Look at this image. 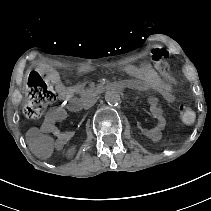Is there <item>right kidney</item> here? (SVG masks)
<instances>
[{
  "label": "right kidney",
  "mask_w": 211,
  "mask_h": 211,
  "mask_svg": "<svg viewBox=\"0 0 211 211\" xmlns=\"http://www.w3.org/2000/svg\"><path fill=\"white\" fill-rule=\"evenodd\" d=\"M66 118V110L63 107H57L47 111L44 124L54 133L58 139L64 143H71L74 135L68 132L60 123Z\"/></svg>",
  "instance_id": "obj_1"
}]
</instances>
